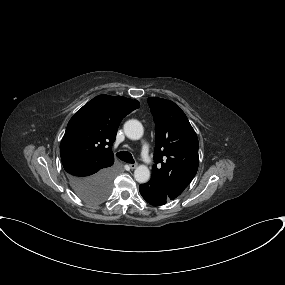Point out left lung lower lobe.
Instances as JSON below:
<instances>
[{"mask_svg": "<svg viewBox=\"0 0 285 285\" xmlns=\"http://www.w3.org/2000/svg\"><path fill=\"white\" fill-rule=\"evenodd\" d=\"M139 191L142 197L151 205L161 206L174 198L167 193L162 184L150 179L146 184L139 186Z\"/></svg>", "mask_w": 285, "mask_h": 285, "instance_id": "left-lung-lower-lobe-1", "label": "left lung lower lobe"}]
</instances>
